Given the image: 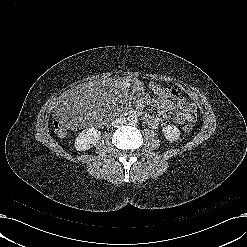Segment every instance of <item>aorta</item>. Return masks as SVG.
I'll use <instances>...</instances> for the list:
<instances>
[{"instance_id":"762f6f07","label":"aorta","mask_w":247,"mask_h":247,"mask_svg":"<svg viewBox=\"0 0 247 247\" xmlns=\"http://www.w3.org/2000/svg\"><path fill=\"white\" fill-rule=\"evenodd\" d=\"M128 122L131 124V125H135L138 123V118L136 115H130L128 116L127 118Z\"/></svg>"}]
</instances>
